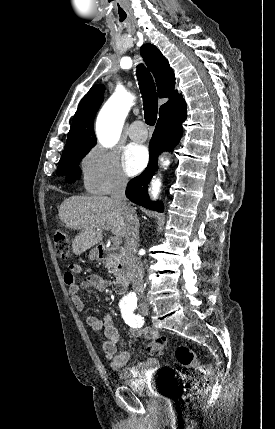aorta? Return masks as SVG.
<instances>
[{
	"label": "aorta",
	"instance_id": "1",
	"mask_svg": "<svg viewBox=\"0 0 275 429\" xmlns=\"http://www.w3.org/2000/svg\"><path fill=\"white\" fill-rule=\"evenodd\" d=\"M131 105V98L114 95L102 108L97 119L98 139L105 147L113 146L119 139L124 119ZM161 182L155 178L151 183V194L157 197ZM125 301L131 302L132 296L125 297Z\"/></svg>",
	"mask_w": 275,
	"mask_h": 429
}]
</instances>
